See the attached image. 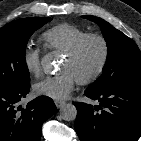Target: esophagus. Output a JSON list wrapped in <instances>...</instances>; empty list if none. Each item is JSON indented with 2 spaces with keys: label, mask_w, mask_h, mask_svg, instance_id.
I'll use <instances>...</instances> for the list:
<instances>
[{
  "label": "esophagus",
  "mask_w": 141,
  "mask_h": 141,
  "mask_svg": "<svg viewBox=\"0 0 141 141\" xmlns=\"http://www.w3.org/2000/svg\"><path fill=\"white\" fill-rule=\"evenodd\" d=\"M55 105L57 108H62L65 105L64 101H55Z\"/></svg>",
  "instance_id": "34e87169"
}]
</instances>
